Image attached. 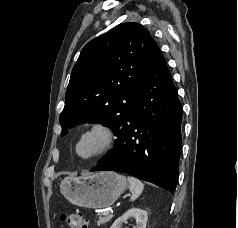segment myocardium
I'll use <instances>...</instances> for the list:
<instances>
[{"label": "myocardium", "mask_w": 238, "mask_h": 228, "mask_svg": "<svg viewBox=\"0 0 238 228\" xmlns=\"http://www.w3.org/2000/svg\"><path fill=\"white\" fill-rule=\"evenodd\" d=\"M89 138L96 139V146L90 153L82 155L79 151L80 145ZM114 141L115 135L112 128L104 122L95 121L83 128L78 134L74 143V154L81 160H92L109 151Z\"/></svg>", "instance_id": "f54148a6"}]
</instances>
